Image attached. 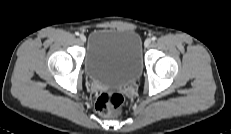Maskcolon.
<instances>
[{"mask_svg":"<svg viewBox=\"0 0 231 134\" xmlns=\"http://www.w3.org/2000/svg\"><path fill=\"white\" fill-rule=\"evenodd\" d=\"M125 98L118 92H102L95 101L96 110L105 117H113L120 113L125 106Z\"/></svg>","mask_w":231,"mask_h":134,"instance_id":"colon-1","label":"colon"}]
</instances>
